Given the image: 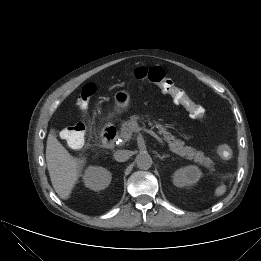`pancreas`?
I'll return each instance as SVG.
<instances>
[{
	"mask_svg": "<svg viewBox=\"0 0 261 261\" xmlns=\"http://www.w3.org/2000/svg\"><path fill=\"white\" fill-rule=\"evenodd\" d=\"M138 119H140V117L134 115L122 124L120 137L125 142L131 138L132 132L137 128ZM149 125H152V123L149 122ZM155 127L158 129L159 135H161L162 138L168 143L172 152L184 157L185 159H193L196 163L201 164L210 171H214V162L209 157H206L202 151H198L190 146H184V142L176 139V137L168 132L160 123L155 122Z\"/></svg>",
	"mask_w": 261,
	"mask_h": 261,
	"instance_id": "1",
	"label": "pancreas"
}]
</instances>
